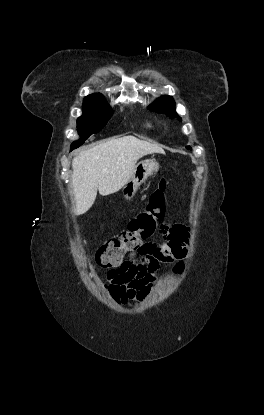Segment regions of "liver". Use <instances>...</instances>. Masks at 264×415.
<instances>
[{"label": "liver", "instance_id": "obj_1", "mask_svg": "<svg viewBox=\"0 0 264 415\" xmlns=\"http://www.w3.org/2000/svg\"><path fill=\"white\" fill-rule=\"evenodd\" d=\"M153 153L164 151L156 144L129 135L76 154L71 179L75 214L82 215L92 207L97 191L102 196L119 191L132 176L137 161Z\"/></svg>", "mask_w": 264, "mask_h": 415}]
</instances>
